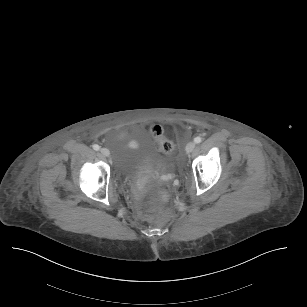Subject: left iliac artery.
I'll return each instance as SVG.
<instances>
[{
    "mask_svg": "<svg viewBox=\"0 0 307 307\" xmlns=\"http://www.w3.org/2000/svg\"><path fill=\"white\" fill-rule=\"evenodd\" d=\"M201 141H202V138H201L200 136H197V137L194 138V142H195L196 144L201 143Z\"/></svg>",
    "mask_w": 307,
    "mask_h": 307,
    "instance_id": "obj_1",
    "label": "left iliac artery"
}]
</instances>
